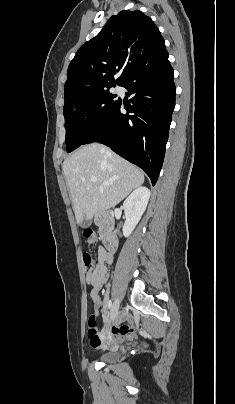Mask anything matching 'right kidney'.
I'll return each instance as SVG.
<instances>
[{"mask_svg":"<svg viewBox=\"0 0 235 404\" xmlns=\"http://www.w3.org/2000/svg\"><path fill=\"white\" fill-rule=\"evenodd\" d=\"M151 192L147 187L136 188L124 201L126 221L123 226V235L129 237L146 210ZM116 233V231H115Z\"/></svg>","mask_w":235,"mask_h":404,"instance_id":"ca27d5eb","label":"right kidney"}]
</instances>
